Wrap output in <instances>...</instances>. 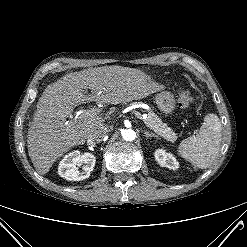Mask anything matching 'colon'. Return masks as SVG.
Returning a JSON list of instances; mask_svg holds the SVG:
<instances>
[{"instance_id":"colon-1","label":"colon","mask_w":247,"mask_h":247,"mask_svg":"<svg viewBox=\"0 0 247 247\" xmlns=\"http://www.w3.org/2000/svg\"><path fill=\"white\" fill-rule=\"evenodd\" d=\"M177 102L180 108L187 109L193 103V97L188 90H181Z\"/></svg>"}]
</instances>
